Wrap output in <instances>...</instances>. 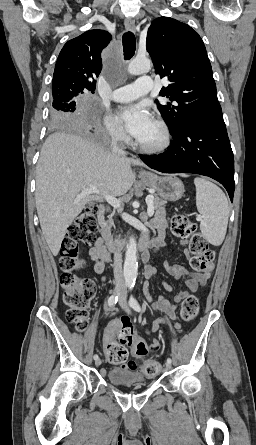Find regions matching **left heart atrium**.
<instances>
[{
	"label": "left heart atrium",
	"instance_id": "39dd6f15",
	"mask_svg": "<svg viewBox=\"0 0 256 445\" xmlns=\"http://www.w3.org/2000/svg\"><path fill=\"white\" fill-rule=\"evenodd\" d=\"M118 118L125 129L136 139L143 136L154 122L149 111L142 105L123 107L118 112Z\"/></svg>",
	"mask_w": 256,
	"mask_h": 445
}]
</instances>
